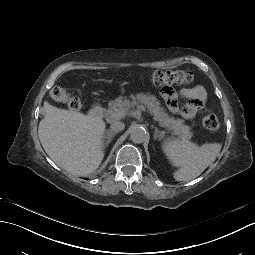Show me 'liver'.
<instances>
[{"label":"liver","instance_id":"liver-1","mask_svg":"<svg viewBox=\"0 0 255 255\" xmlns=\"http://www.w3.org/2000/svg\"><path fill=\"white\" fill-rule=\"evenodd\" d=\"M45 116L38 135L48 156L73 174L86 175L101 164L105 122L79 112L59 109L44 102Z\"/></svg>","mask_w":255,"mask_h":255}]
</instances>
